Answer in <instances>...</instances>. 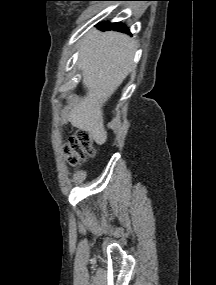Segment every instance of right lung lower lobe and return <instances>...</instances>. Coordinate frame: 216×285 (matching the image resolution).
<instances>
[{
    "mask_svg": "<svg viewBox=\"0 0 216 285\" xmlns=\"http://www.w3.org/2000/svg\"><path fill=\"white\" fill-rule=\"evenodd\" d=\"M103 30H116L121 32H127L128 28L121 23H102L99 25Z\"/></svg>",
    "mask_w": 216,
    "mask_h": 285,
    "instance_id": "1",
    "label": "right lung lower lobe"
}]
</instances>
